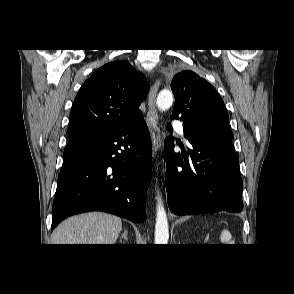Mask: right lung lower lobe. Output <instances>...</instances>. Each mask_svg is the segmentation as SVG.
<instances>
[{
    "mask_svg": "<svg viewBox=\"0 0 294 294\" xmlns=\"http://www.w3.org/2000/svg\"><path fill=\"white\" fill-rule=\"evenodd\" d=\"M151 170V140L142 113L113 130L70 140L58 177L52 229L89 211L142 222Z\"/></svg>",
    "mask_w": 294,
    "mask_h": 294,
    "instance_id": "98d812e1",
    "label": "right lung lower lobe"
}]
</instances>
